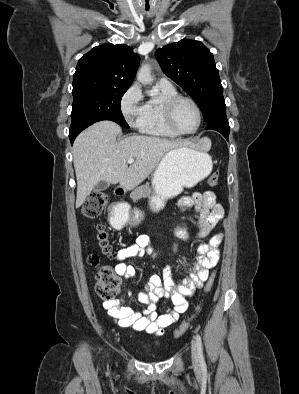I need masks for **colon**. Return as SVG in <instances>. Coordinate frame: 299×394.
I'll return each instance as SVG.
<instances>
[{
    "label": "colon",
    "mask_w": 299,
    "mask_h": 394,
    "mask_svg": "<svg viewBox=\"0 0 299 394\" xmlns=\"http://www.w3.org/2000/svg\"><path fill=\"white\" fill-rule=\"evenodd\" d=\"M219 176L217 173H212L208 179L211 186L218 185ZM108 203L106 193L102 191L93 192L82 206V214L88 219H94L100 216ZM97 246L100 253L107 258H114L115 253L108 240V233L104 226L99 225L96 232ZM88 263L96 269V292L100 298L105 301L115 300L121 286V281L110 266L100 264L99 257L96 254H91L88 257ZM215 280V273H211L204 285V292L208 293ZM199 305L191 317L184 320L176 329L174 335L176 338L180 337L186 332L189 327L190 319L200 310Z\"/></svg>",
    "instance_id": "5ec220e1"
}]
</instances>
